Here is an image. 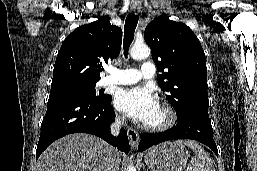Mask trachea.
Returning <instances> with one entry per match:
<instances>
[{
	"instance_id": "3493384b",
	"label": "trachea",
	"mask_w": 257,
	"mask_h": 171,
	"mask_svg": "<svg viewBox=\"0 0 257 171\" xmlns=\"http://www.w3.org/2000/svg\"><path fill=\"white\" fill-rule=\"evenodd\" d=\"M138 15L129 13L125 20L124 28V55L127 57L128 49L134 39L135 29L138 23Z\"/></svg>"
}]
</instances>
